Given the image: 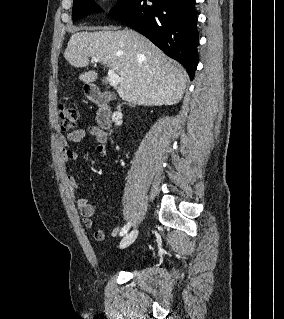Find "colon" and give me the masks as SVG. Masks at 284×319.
Here are the masks:
<instances>
[{
    "label": "colon",
    "instance_id": "5ec220e1",
    "mask_svg": "<svg viewBox=\"0 0 284 319\" xmlns=\"http://www.w3.org/2000/svg\"><path fill=\"white\" fill-rule=\"evenodd\" d=\"M58 114L62 130L67 131L76 126L78 114L75 106L61 103L58 107Z\"/></svg>",
    "mask_w": 284,
    "mask_h": 319
}]
</instances>
